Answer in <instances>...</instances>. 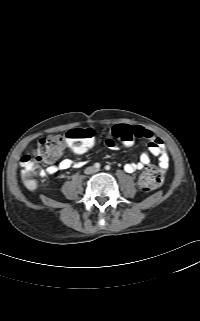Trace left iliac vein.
Segmentation results:
<instances>
[{"mask_svg": "<svg viewBox=\"0 0 200 321\" xmlns=\"http://www.w3.org/2000/svg\"><path fill=\"white\" fill-rule=\"evenodd\" d=\"M95 171H96V172H99V171H100V169H96Z\"/></svg>", "mask_w": 200, "mask_h": 321, "instance_id": "left-iliac-vein-1", "label": "left iliac vein"}]
</instances>
